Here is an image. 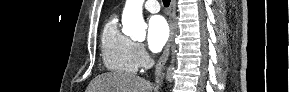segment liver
<instances>
[{
    "mask_svg": "<svg viewBox=\"0 0 289 92\" xmlns=\"http://www.w3.org/2000/svg\"><path fill=\"white\" fill-rule=\"evenodd\" d=\"M153 85L141 77L116 72L96 76L87 92H152Z\"/></svg>",
    "mask_w": 289,
    "mask_h": 92,
    "instance_id": "6515ba94",
    "label": "liver"
}]
</instances>
